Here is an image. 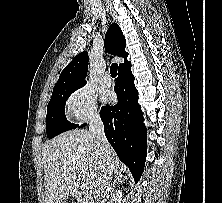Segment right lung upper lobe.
<instances>
[{"mask_svg": "<svg viewBox=\"0 0 222 203\" xmlns=\"http://www.w3.org/2000/svg\"><path fill=\"white\" fill-rule=\"evenodd\" d=\"M125 47L126 41L120 27L116 23L111 24L105 35V49L108 53L125 59V62L119 65V70L131 65L127 61L128 53L125 51ZM87 68L88 54L82 52L63 69L53 92L84 86L86 84Z\"/></svg>", "mask_w": 222, "mask_h": 203, "instance_id": "obj_1", "label": "right lung upper lobe"}]
</instances>
